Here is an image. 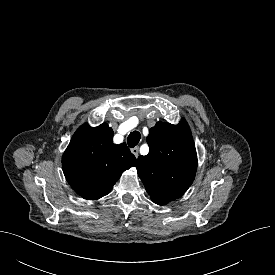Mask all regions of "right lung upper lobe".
<instances>
[{"label": "right lung upper lobe", "mask_w": 275, "mask_h": 275, "mask_svg": "<svg viewBox=\"0 0 275 275\" xmlns=\"http://www.w3.org/2000/svg\"><path fill=\"white\" fill-rule=\"evenodd\" d=\"M114 132L106 123L82 125L73 135L62 157L66 180L87 200L107 195L121 174L136 165L125 143H113Z\"/></svg>", "instance_id": "obj_1"}]
</instances>
